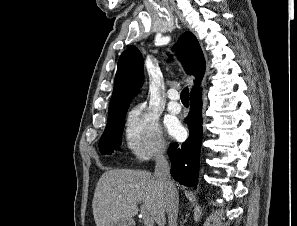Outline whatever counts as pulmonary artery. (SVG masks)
Listing matches in <instances>:
<instances>
[{
    "label": "pulmonary artery",
    "instance_id": "e3ab8cb5",
    "mask_svg": "<svg viewBox=\"0 0 297 226\" xmlns=\"http://www.w3.org/2000/svg\"><path fill=\"white\" fill-rule=\"evenodd\" d=\"M168 110L173 113L177 114L181 111V104L178 102L179 95L175 89H172L168 92Z\"/></svg>",
    "mask_w": 297,
    "mask_h": 226
}]
</instances>
